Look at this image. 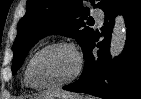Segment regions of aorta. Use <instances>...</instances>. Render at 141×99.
Returning a JSON list of instances; mask_svg holds the SVG:
<instances>
[{
  "label": "aorta",
  "mask_w": 141,
  "mask_h": 99,
  "mask_svg": "<svg viewBox=\"0 0 141 99\" xmlns=\"http://www.w3.org/2000/svg\"><path fill=\"white\" fill-rule=\"evenodd\" d=\"M126 25L122 15H117L114 22V27L111 36L110 54L112 58L119 56L126 43Z\"/></svg>",
  "instance_id": "aorta-1"
}]
</instances>
